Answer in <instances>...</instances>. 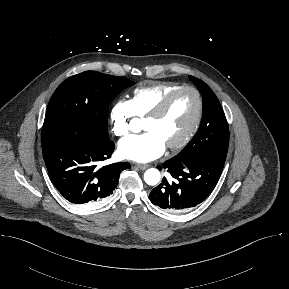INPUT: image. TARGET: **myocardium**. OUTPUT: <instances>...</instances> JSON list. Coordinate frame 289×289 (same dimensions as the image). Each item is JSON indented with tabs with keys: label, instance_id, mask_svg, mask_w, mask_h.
<instances>
[{
	"label": "myocardium",
	"instance_id": "obj_1",
	"mask_svg": "<svg viewBox=\"0 0 289 289\" xmlns=\"http://www.w3.org/2000/svg\"><path fill=\"white\" fill-rule=\"evenodd\" d=\"M182 91H191L195 94L196 99H197L196 115L194 117L191 127L186 132V134L177 142L167 145V148L170 150H178V149L183 148L185 145H187L191 141V139L195 136L196 132L199 129L202 116H203V109H204L203 98L199 90L190 85L180 86L172 90L171 92H169L161 100V102L145 117V120H157L160 117H162L164 113L167 111L173 98Z\"/></svg>",
	"mask_w": 289,
	"mask_h": 289
}]
</instances>
